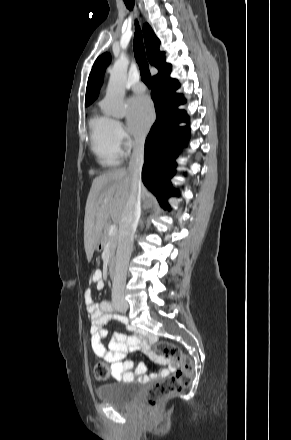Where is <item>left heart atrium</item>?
Returning <instances> with one entry per match:
<instances>
[{
	"label": "left heart atrium",
	"instance_id": "39dd6f15",
	"mask_svg": "<svg viewBox=\"0 0 291 440\" xmlns=\"http://www.w3.org/2000/svg\"><path fill=\"white\" fill-rule=\"evenodd\" d=\"M154 120V108L148 97L135 96L128 101V124L132 133L143 135Z\"/></svg>",
	"mask_w": 291,
	"mask_h": 440
}]
</instances>
